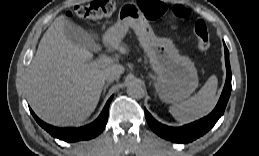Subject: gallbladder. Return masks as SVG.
I'll list each match as a JSON object with an SVG mask.
<instances>
[{
	"label": "gallbladder",
	"mask_w": 259,
	"mask_h": 156,
	"mask_svg": "<svg viewBox=\"0 0 259 156\" xmlns=\"http://www.w3.org/2000/svg\"><path fill=\"white\" fill-rule=\"evenodd\" d=\"M64 34L66 38L75 45L87 50L97 49V45L88 33L79 25L71 21H67L64 25Z\"/></svg>",
	"instance_id": "1"
}]
</instances>
